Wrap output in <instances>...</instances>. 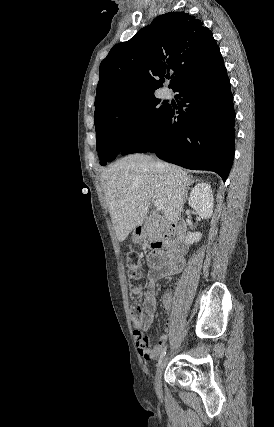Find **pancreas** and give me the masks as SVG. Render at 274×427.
<instances>
[{
    "instance_id": "pancreas-1",
    "label": "pancreas",
    "mask_w": 274,
    "mask_h": 427,
    "mask_svg": "<svg viewBox=\"0 0 274 427\" xmlns=\"http://www.w3.org/2000/svg\"><path fill=\"white\" fill-rule=\"evenodd\" d=\"M152 225H148L147 227V235L148 239H156V237H159L161 231L160 227H158L157 223L155 221H151Z\"/></svg>"
}]
</instances>
